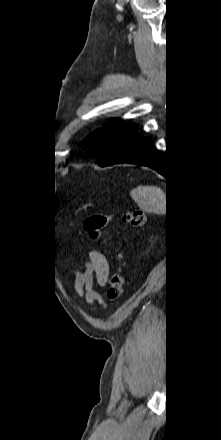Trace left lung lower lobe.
I'll list each match as a JSON object with an SVG mask.
<instances>
[{
	"label": "left lung lower lobe",
	"instance_id": "obj_1",
	"mask_svg": "<svg viewBox=\"0 0 221 440\" xmlns=\"http://www.w3.org/2000/svg\"><path fill=\"white\" fill-rule=\"evenodd\" d=\"M116 163H129L147 166L158 171L160 174L166 177L169 176L171 170L168 161L165 162L164 155L158 150L154 149L152 146L151 139L136 134V131L126 152L114 164Z\"/></svg>",
	"mask_w": 221,
	"mask_h": 440
}]
</instances>
